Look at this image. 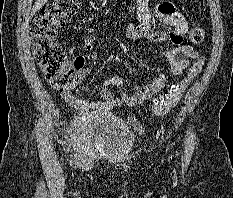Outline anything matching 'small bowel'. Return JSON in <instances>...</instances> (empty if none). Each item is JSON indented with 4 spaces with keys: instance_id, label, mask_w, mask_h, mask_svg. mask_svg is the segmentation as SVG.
<instances>
[{
    "instance_id": "obj_1",
    "label": "small bowel",
    "mask_w": 233,
    "mask_h": 198,
    "mask_svg": "<svg viewBox=\"0 0 233 198\" xmlns=\"http://www.w3.org/2000/svg\"><path fill=\"white\" fill-rule=\"evenodd\" d=\"M148 3L149 0H137V17L140 25L135 27L132 24H125L123 25V28L125 29L127 36L134 40L148 38L154 42H163L168 39L175 44L176 47L166 50L164 56L167 61L169 72L172 75L177 76L188 66V58L196 57V54L192 51L191 47L185 44L189 30L188 24L183 15L176 11L171 3H159L154 12L149 9ZM155 18L161 20L165 25L170 26L172 30L166 32L154 29L152 23ZM83 44L87 53L86 58L92 61L96 60L98 55L94 51L95 37L93 35H87L84 38ZM180 56L183 57L180 58ZM78 60H81L82 62L77 63ZM74 65L77 69L80 83L90 74V69L85 67L84 57H77L74 60ZM165 85L166 75L160 73L158 76L147 80L143 85L136 86L132 95L122 92L120 96H117L110 90V87L123 89L124 81L122 78L114 76L103 82V89L101 92L104 99L103 102L88 101L75 96L70 92L63 93V98L70 106L79 110L107 112L121 105H139L163 90Z\"/></svg>"
}]
</instances>
